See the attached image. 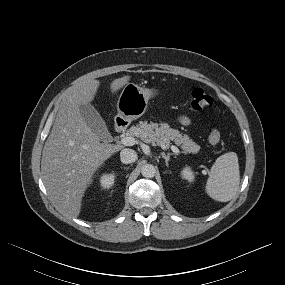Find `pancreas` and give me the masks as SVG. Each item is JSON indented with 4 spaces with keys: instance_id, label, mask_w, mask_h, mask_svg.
<instances>
[{
    "instance_id": "pancreas-1",
    "label": "pancreas",
    "mask_w": 285,
    "mask_h": 285,
    "mask_svg": "<svg viewBox=\"0 0 285 285\" xmlns=\"http://www.w3.org/2000/svg\"><path fill=\"white\" fill-rule=\"evenodd\" d=\"M128 135L137 136L145 143L152 145L169 147L170 141H174L177 146H180L184 153H197L200 146L193 142L187 134H182L178 130L170 128L166 123H147L140 122L139 125L128 130Z\"/></svg>"
}]
</instances>
